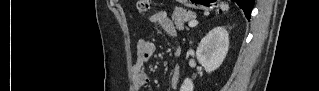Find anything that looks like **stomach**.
Segmentation results:
<instances>
[{
	"mask_svg": "<svg viewBox=\"0 0 319 91\" xmlns=\"http://www.w3.org/2000/svg\"><path fill=\"white\" fill-rule=\"evenodd\" d=\"M199 2V3H198ZM215 1L207 0V1H191L187 5L193 8H202L208 9L214 7Z\"/></svg>",
	"mask_w": 319,
	"mask_h": 91,
	"instance_id": "1",
	"label": "stomach"
}]
</instances>
